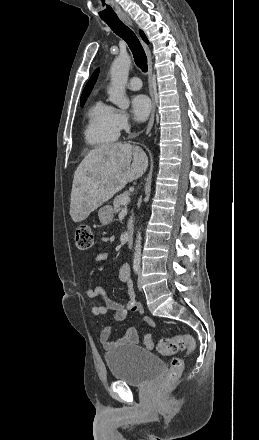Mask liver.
<instances>
[{
  "instance_id": "1",
  "label": "liver",
  "mask_w": 259,
  "mask_h": 440,
  "mask_svg": "<svg viewBox=\"0 0 259 440\" xmlns=\"http://www.w3.org/2000/svg\"><path fill=\"white\" fill-rule=\"evenodd\" d=\"M147 167L146 153L130 143H113L92 149L74 174L70 204L72 220H85L128 182L140 178Z\"/></svg>"
}]
</instances>
